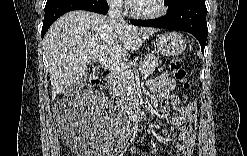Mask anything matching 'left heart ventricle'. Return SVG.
<instances>
[{"label":"left heart ventricle","instance_id":"left-heart-ventricle-1","mask_svg":"<svg viewBox=\"0 0 247 156\" xmlns=\"http://www.w3.org/2000/svg\"><path fill=\"white\" fill-rule=\"evenodd\" d=\"M134 5L140 13H150L156 10L158 4L155 0H145L136 1Z\"/></svg>","mask_w":247,"mask_h":156}]
</instances>
